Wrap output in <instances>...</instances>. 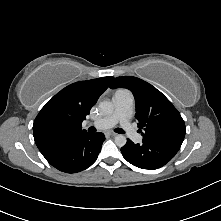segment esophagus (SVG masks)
I'll list each match as a JSON object with an SVG mask.
<instances>
[{
    "instance_id": "obj_1",
    "label": "esophagus",
    "mask_w": 221,
    "mask_h": 221,
    "mask_svg": "<svg viewBox=\"0 0 221 221\" xmlns=\"http://www.w3.org/2000/svg\"><path fill=\"white\" fill-rule=\"evenodd\" d=\"M107 134L110 135V136H116V135H117V134L114 133V132H107Z\"/></svg>"
}]
</instances>
